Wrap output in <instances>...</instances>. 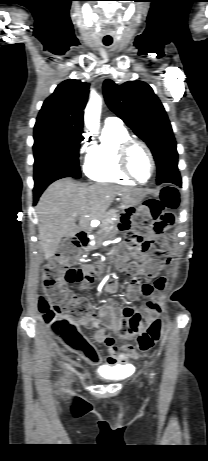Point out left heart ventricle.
Instances as JSON below:
<instances>
[{
  "label": "left heart ventricle",
  "instance_id": "obj_1",
  "mask_svg": "<svg viewBox=\"0 0 208 461\" xmlns=\"http://www.w3.org/2000/svg\"><path fill=\"white\" fill-rule=\"evenodd\" d=\"M133 174L141 181H146L151 174V163L147 153L141 147H135L129 157Z\"/></svg>",
  "mask_w": 208,
  "mask_h": 461
}]
</instances>
